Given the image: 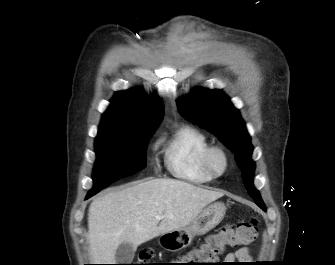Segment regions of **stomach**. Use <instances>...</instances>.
<instances>
[{"label":"stomach","mask_w":335,"mask_h":265,"mask_svg":"<svg viewBox=\"0 0 335 265\" xmlns=\"http://www.w3.org/2000/svg\"><path fill=\"white\" fill-rule=\"evenodd\" d=\"M225 213L226 206L223 202L211 203L184 228L161 234L159 244L167 251H179L187 247L195 236L204 235L215 228L223 220Z\"/></svg>","instance_id":"1"}]
</instances>
